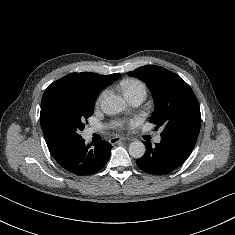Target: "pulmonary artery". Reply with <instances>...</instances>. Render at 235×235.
I'll return each mask as SVG.
<instances>
[{
  "label": "pulmonary artery",
  "instance_id": "obj_1",
  "mask_svg": "<svg viewBox=\"0 0 235 235\" xmlns=\"http://www.w3.org/2000/svg\"><path fill=\"white\" fill-rule=\"evenodd\" d=\"M126 98L129 101V103L133 106H138L140 105L146 98V91L145 90H135L133 92H130L126 94ZM96 130L94 128H89L87 130V135H91L95 132ZM161 141V136L156 135L154 138L155 143H160Z\"/></svg>",
  "mask_w": 235,
  "mask_h": 235
}]
</instances>
